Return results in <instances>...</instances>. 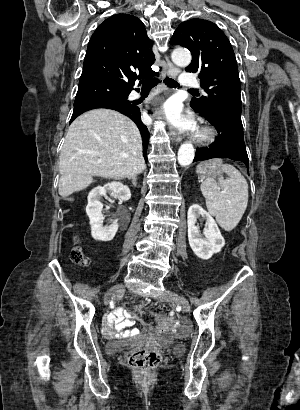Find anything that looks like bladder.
I'll list each match as a JSON object with an SVG mask.
<instances>
[{"mask_svg": "<svg viewBox=\"0 0 300 410\" xmlns=\"http://www.w3.org/2000/svg\"><path fill=\"white\" fill-rule=\"evenodd\" d=\"M130 341H114V342H110L107 344V350L110 351L111 353H117L119 351H121L125 345L127 343H129ZM175 351L179 352L180 349L175 347Z\"/></svg>", "mask_w": 300, "mask_h": 410, "instance_id": "31cf9c89", "label": "bladder"}]
</instances>
